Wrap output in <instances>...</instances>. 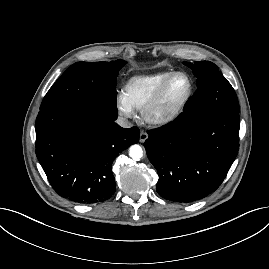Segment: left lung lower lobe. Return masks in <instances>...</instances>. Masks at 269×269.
<instances>
[{
    "label": "left lung lower lobe",
    "mask_w": 269,
    "mask_h": 269,
    "mask_svg": "<svg viewBox=\"0 0 269 269\" xmlns=\"http://www.w3.org/2000/svg\"><path fill=\"white\" fill-rule=\"evenodd\" d=\"M239 112L222 110L173 122L148 132L147 156L156 168V190L167 200L189 203L214 192L239 150Z\"/></svg>",
    "instance_id": "0a47b994"
}]
</instances>
